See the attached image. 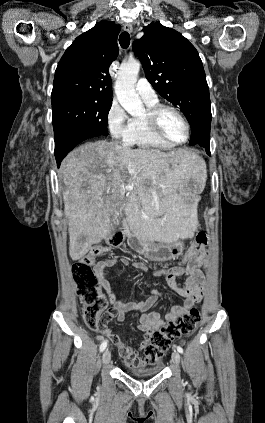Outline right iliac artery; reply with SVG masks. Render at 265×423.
<instances>
[{
    "instance_id": "82829eb1",
    "label": "right iliac artery",
    "mask_w": 265,
    "mask_h": 423,
    "mask_svg": "<svg viewBox=\"0 0 265 423\" xmlns=\"http://www.w3.org/2000/svg\"><path fill=\"white\" fill-rule=\"evenodd\" d=\"M107 347V341H103L100 345V352H103Z\"/></svg>"
}]
</instances>
